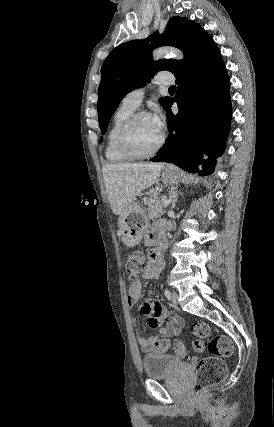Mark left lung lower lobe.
<instances>
[{
	"mask_svg": "<svg viewBox=\"0 0 274 427\" xmlns=\"http://www.w3.org/2000/svg\"><path fill=\"white\" fill-rule=\"evenodd\" d=\"M175 77L177 92L164 107L170 135L150 161L171 162L187 172L210 175L215 158L225 149L231 120L230 81L212 38L195 49ZM174 102L179 107L177 115L171 112ZM203 154L209 159L203 160Z\"/></svg>",
	"mask_w": 274,
	"mask_h": 427,
	"instance_id": "1",
	"label": "left lung lower lobe"
}]
</instances>
